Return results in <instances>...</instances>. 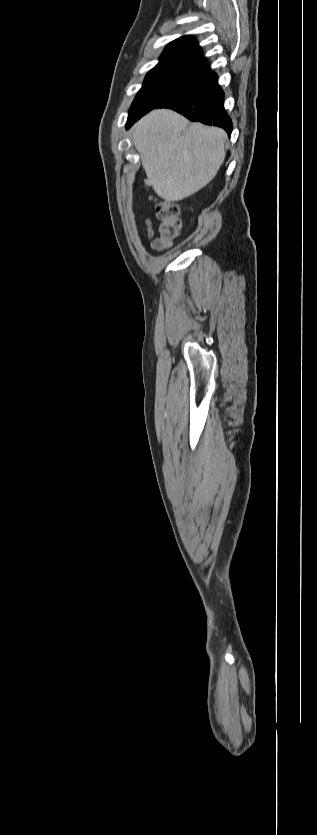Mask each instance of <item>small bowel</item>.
Listing matches in <instances>:
<instances>
[{"label":"small bowel","mask_w":317,"mask_h":835,"mask_svg":"<svg viewBox=\"0 0 317 835\" xmlns=\"http://www.w3.org/2000/svg\"><path fill=\"white\" fill-rule=\"evenodd\" d=\"M146 225H147V233H148V236L151 238V237L153 236V233H154V232H153V229H152V227H151V223H150V221H146ZM152 246H153V248H154V249H161V248H162V242H161V239H154V240L152 241Z\"/></svg>","instance_id":"c3829d8e"}]
</instances>
